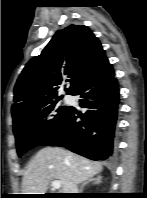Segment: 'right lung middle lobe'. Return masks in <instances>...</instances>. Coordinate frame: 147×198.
I'll return each mask as SVG.
<instances>
[{
  "mask_svg": "<svg viewBox=\"0 0 147 198\" xmlns=\"http://www.w3.org/2000/svg\"><path fill=\"white\" fill-rule=\"evenodd\" d=\"M57 101L33 110L13 123L19 156L43 143L64 124L72 108L58 106Z\"/></svg>",
  "mask_w": 147,
  "mask_h": 198,
  "instance_id": "dd1d6c3e",
  "label": "right lung middle lobe"
}]
</instances>
